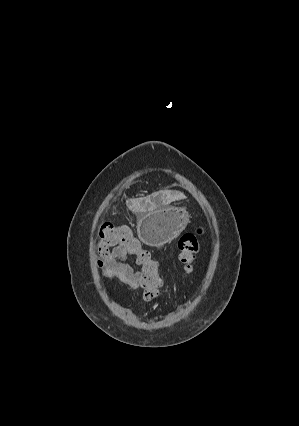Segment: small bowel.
I'll return each instance as SVG.
<instances>
[{
	"mask_svg": "<svg viewBox=\"0 0 299 426\" xmlns=\"http://www.w3.org/2000/svg\"><path fill=\"white\" fill-rule=\"evenodd\" d=\"M130 254L123 248H114L100 263L102 275L106 278H116L132 290H140L142 267L135 261L131 265Z\"/></svg>",
	"mask_w": 299,
	"mask_h": 426,
	"instance_id": "1",
	"label": "small bowel"
}]
</instances>
